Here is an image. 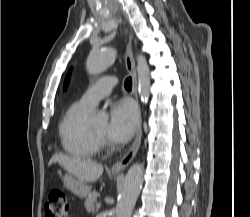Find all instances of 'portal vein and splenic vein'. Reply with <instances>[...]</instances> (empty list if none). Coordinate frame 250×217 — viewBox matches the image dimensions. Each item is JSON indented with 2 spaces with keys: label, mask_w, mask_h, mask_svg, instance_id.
Masks as SVG:
<instances>
[{
  "label": "portal vein and splenic vein",
  "mask_w": 250,
  "mask_h": 217,
  "mask_svg": "<svg viewBox=\"0 0 250 217\" xmlns=\"http://www.w3.org/2000/svg\"><path fill=\"white\" fill-rule=\"evenodd\" d=\"M100 207H101V204L100 203H96V209L98 210V209H100Z\"/></svg>",
  "instance_id": "portal-vein-and-splenic-vein-1"
}]
</instances>
